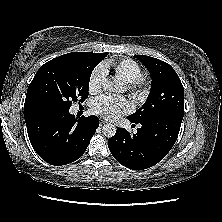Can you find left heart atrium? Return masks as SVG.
<instances>
[{"label": "left heart atrium", "mask_w": 222, "mask_h": 222, "mask_svg": "<svg viewBox=\"0 0 222 222\" xmlns=\"http://www.w3.org/2000/svg\"><path fill=\"white\" fill-rule=\"evenodd\" d=\"M92 110L105 119L114 120L121 114L128 112L130 104L123 97L104 95L94 100Z\"/></svg>", "instance_id": "1"}]
</instances>
